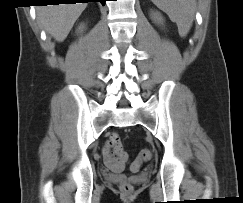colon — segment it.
Returning <instances> with one entry per match:
<instances>
[{"label":"colon","instance_id":"5ec220e1","mask_svg":"<svg viewBox=\"0 0 243 203\" xmlns=\"http://www.w3.org/2000/svg\"><path fill=\"white\" fill-rule=\"evenodd\" d=\"M119 158L121 161L125 162L128 159V153L126 151H124L123 149H121L119 151ZM151 158H152V152L148 149H144L140 152L138 163L135 166L137 167L140 165V163L146 162V161L150 160ZM119 189L123 193L128 194V193L132 192L133 187L130 183L124 182L120 185Z\"/></svg>","mask_w":243,"mask_h":203}]
</instances>
